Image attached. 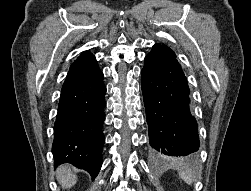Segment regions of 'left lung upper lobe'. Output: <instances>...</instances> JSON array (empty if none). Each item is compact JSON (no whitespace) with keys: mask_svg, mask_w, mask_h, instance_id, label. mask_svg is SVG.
Instances as JSON below:
<instances>
[{"mask_svg":"<svg viewBox=\"0 0 251 191\" xmlns=\"http://www.w3.org/2000/svg\"><path fill=\"white\" fill-rule=\"evenodd\" d=\"M153 48H154V49H157V50H165V51H167L168 53H170L171 55H173L174 57H176V56H175V53H174L169 47H167L166 45L155 44V45L153 46Z\"/></svg>","mask_w":251,"mask_h":191,"instance_id":"left-lung-upper-lobe-1","label":"left lung upper lobe"}]
</instances>
